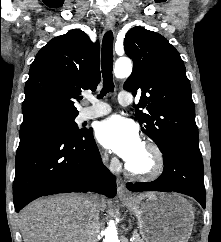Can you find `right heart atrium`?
<instances>
[{
  "label": "right heart atrium",
  "instance_id": "right-heart-atrium-1",
  "mask_svg": "<svg viewBox=\"0 0 221 242\" xmlns=\"http://www.w3.org/2000/svg\"><path fill=\"white\" fill-rule=\"evenodd\" d=\"M99 162L102 166H109L112 169L117 165V162L115 160H109L107 154L103 151L99 153Z\"/></svg>",
  "mask_w": 221,
  "mask_h": 242
}]
</instances>
